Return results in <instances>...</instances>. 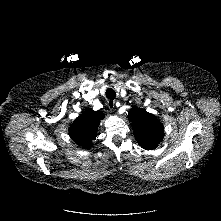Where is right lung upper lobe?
Masks as SVG:
<instances>
[{
  "mask_svg": "<svg viewBox=\"0 0 221 221\" xmlns=\"http://www.w3.org/2000/svg\"><path fill=\"white\" fill-rule=\"evenodd\" d=\"M103 117L102 111H92L90 109L84 111L69 128L72 140L84 148H90L92 141L97 136V128Z\"/></svg>",
  "mask_w": 221,
  "mask_h": 221,
  "instance_id": "cb5924a9",
  "label": "right lung upper lobe"
}]
</instances>
